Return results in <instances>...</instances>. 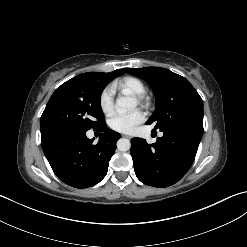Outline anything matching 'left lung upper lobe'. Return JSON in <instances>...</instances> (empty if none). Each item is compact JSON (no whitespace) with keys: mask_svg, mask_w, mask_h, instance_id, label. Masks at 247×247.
<instances>
[{"mask_svg":"<svg viewBox=\"0 0 247 247\" xmlns=\"http://www.w3.org/2000/svg\"><path fill=\"white\" fill-rule=\"evenodd\" d=\"M124 71L146 80L154 91L156 110L146 124H154V130L183 124L203 133V101L188 80L159 67Z\"/></svg>","mask_w":247,"mask_h":247,"instance_id":"5c2ea615","label":"left lung upper lobe"}]
</instances>
